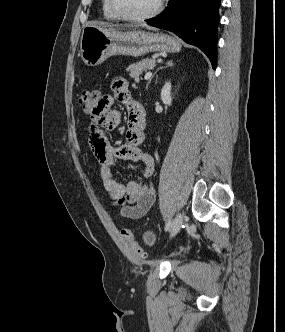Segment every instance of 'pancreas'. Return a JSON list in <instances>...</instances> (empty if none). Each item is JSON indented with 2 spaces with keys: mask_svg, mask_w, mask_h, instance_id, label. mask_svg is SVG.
Instances as JSON below:
<instances>
[{
  "mask_svg": "<svg viewBox=\"0 0 285 332\" xmlns=\"http://www.w3.org/2000/svg\"><path fill=\"white\" fill-rule=\"evenodd\" d=\"M155 60L154 59H143L142 61L136 62L129 66V76L132 79L138 80L139 76L147 70H150L154 67Z\"/></svg>",
  "mask_w": 285,
  "mask_h": 332,
  "instance_id": "1",
  "label": "pancreas"
}]
</instances>
